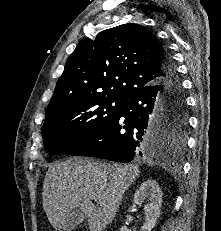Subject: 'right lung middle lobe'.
Segmentation results:
<instances>
[{
  "label": "right lung middle lobe",
  "instance_id": "right-lung-middle-lobe-1",
  "mask_svg": "<svg viewBox=\"0 0 221 231\" xmlns=\"http://www.w3.org/2000/svg\"><path fill=\"white\" fill-rule=\"evenodd\" d=\"M125 99L93 96L70 101L45 118L42 137L51 154L67 152L101 130L121 109ZM157 129L182 147L185 144L188 116L186 104L166 102L155 116Z\"/></svg>",
  "mask_w": 221,
  "mask_h": 231
}]
</instances>
